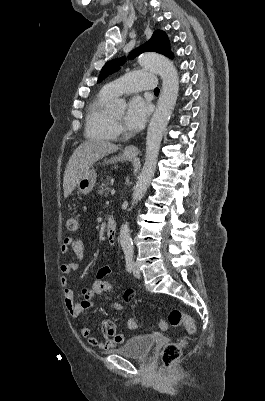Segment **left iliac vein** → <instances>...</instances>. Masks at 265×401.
Here are the masks:
<instances>
[{
  "label": "left iliac vein",
  "instance_id": "4c4485c4",
  "mask_svg": "<svg viewBox=\"0 0 265 401\" xmlns=\"http://www.w3.org/2000/svg\"><path fill=\"white\" fill-rule=\"evenodd\" d=\"M132 266H133V275H134V277L135 278H139L141 276V273H140V271L138 269L137 264L135 262H133Z\"/></svg>",
  "mask_w": 265,
  "mask_h": 401
}]
</instances>
